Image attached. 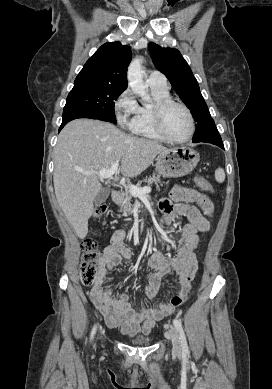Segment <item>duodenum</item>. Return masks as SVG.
Wrapping results in <instances>:
<instances>
[{"mask_svg": "<svg viewBox=\"0 0 272 389\" xmlns=\"http://www.w3.org/2000/svg\"><path fill=\"white\" fill-rule=\"evenodd\" d=\"M112 199L115 203L119 204L122 202V195L118 191L112 192Z\"/></svg>", "mask_w": 272, "mask_h": 389, "instance_id": "duodenum-1", "label": "duodenum"}]
</instances>
